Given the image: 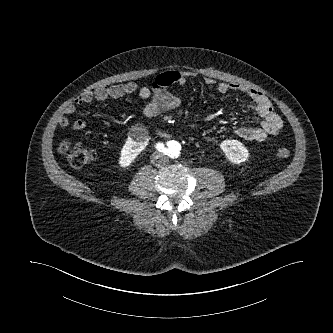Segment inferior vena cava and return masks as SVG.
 I'll return each instance as SVG.
<instances>
[{
    "label": "inferior vena cava",
    "instance_id": "inferior-vena-cava-1",
    "mask_svg": "<svg viewBox=\"0 0 333 333\" xmlns=\"http://www.w3.org/2000/svg\"><path fill=\"white\" fill-rule=\"evenodd\" d=\"M168 160V157L162 153L156 152L151 156V163L155 165H162L166 163Z\"/></svg>",
    "mask_w": 333,
    "mask_h": 333
}]
</instances>
